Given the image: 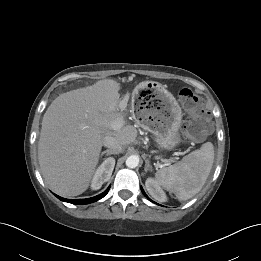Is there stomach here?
<instances>
[{"label": "stomach", "mask_w": 261, "mask_h": 261, "mask_svg": "<svg viewBox=\"0 0 261 261\" xmlns=\"http://www.w3.org/2000/svg\"><path fill=\"white\" fill-rule=\"evenodd\" d=\"M146 91L144 100L136 98L133 106L135 120L140 127L155 136L160 149L171 150L180 141L181 107L172 93L158 82L146 83Z\"/></svg>", "instance_id": "0dacf381"}]
</instances>
